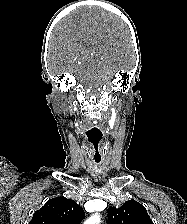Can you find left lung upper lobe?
<instances>
[{"mask_svg":"<svg viewBox=\"0 0 187 224\" xmlns=\"http://www.w3.org/2000/svg\"><path fill=\"white\" fill-rule=\"evenodd\" d=\"M108 224H154L145 207L135 200L126 201L120 208L108 209Z\"/></svg>","mask_w":187,"mask_h":224,"instance_id":"1","label":"left lung upper lobe"}]
</instances>
